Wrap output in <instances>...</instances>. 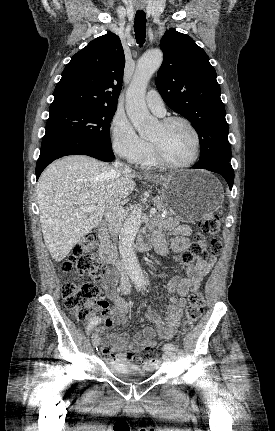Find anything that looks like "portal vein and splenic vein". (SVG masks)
<instances>
[{"label":"portal vein and splenic vein","mask_w":275,"mask_h":431,"mask_svg":"<svg viewBox=\"0 0 275 431\" xmlns=\"http://www.w3.org/2000/svg\"><path fill=\"white\" fill-rule=\"evenodd\" d=\"M81 210L84 211V212H86V213H89V212H94V211L98 210V208H97L96 205H89V206H83V207H81ZM156 212H157V210L155 208H152L150 210V214L151 215L155 214Z\"/></svg>","instance_id":"1"}]
</instances>
